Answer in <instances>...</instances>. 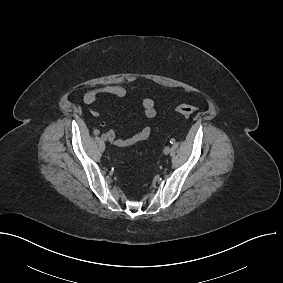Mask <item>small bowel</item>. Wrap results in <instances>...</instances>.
Wrapping results in <instances>:
<instances>
[{"instance_id": "1", "label": "small bowel", "mask_w": 283, "mask_h": 283, "mask_svg": "<svg viewBox=\"0 0 283 283\" xmlns=\"http://www.w3.org/2000/svg\"><path fill=\"white\" fill-rule=\"evenodd\" d=\"M102 95H110L115 98H123L126 95V90L125 88L118 85H106L102 87L93 88L85 92L83 96V101L87 105H92ZM142 108L144 115L149 119L154 118L157 114L155 103L151 98L143 99ZM91 113L94 116L99 115V112L94 108L91 109ZM150 134H151V128L147 125L143 126L135 134L125 138H117L114 130L112 129L107 131V136L109 141L114 145H116L117 147H122V148L129 147L139 142L145 141L149 138Z\"/></svg>"}]
</instances>
